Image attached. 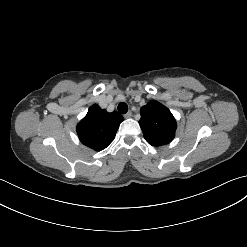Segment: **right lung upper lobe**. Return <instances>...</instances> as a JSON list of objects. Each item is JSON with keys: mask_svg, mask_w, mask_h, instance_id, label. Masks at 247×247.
<instances>
[{"mask_svg": "<svg viewBox=\"0 0 247 247\" xmlns=\"http://www.w3.org/2000/svg\"><path fill=\"white\" fill-rule=\"evenodd\" d=\"M123 120L124 118L119 113H108L94 104L77 125L79 139L87 147L101 151L114 140Z\"/></svg>", "mask_w": 247, "mask_h": 247, "instance_id": "1", "label": "right lung upper lobe"}]
</instances>
